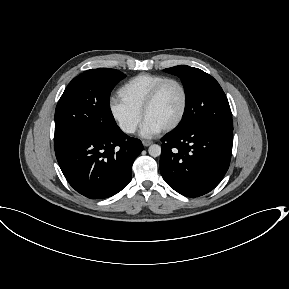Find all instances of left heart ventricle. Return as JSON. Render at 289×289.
I'll use <instances>...</instances> for the list:
<instances>
[{"label":"left heart ventricle","instance_id":"b2bd125f","mask_svg":"<svg viewBox=\"0 0 289 289\" xmlns=\"http://www.w3.org/2000/svg\"><path fill=\"white\" fill-rule=\"evenodd\" d=\"M182 102L183 97L180 88L174 83H168L147 111L145 119L164 128L178 117Z\"/></svg>","mask_w":289,"mask_h":289}]
</instances>
